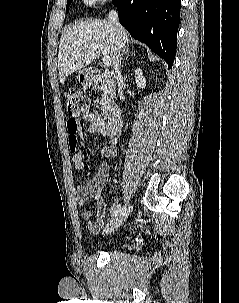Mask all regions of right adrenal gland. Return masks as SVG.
<instances>
[{
  "label": "right adrenal gland",
  "instance_id": "2a0ac1e0",
  "mask_svg": "<svg viewBox=\"0 0 239 303\" xmlns=\"http://www.w3.org/2000/svg\"><path fill=\"white\" fill-rule=\"evenodd\" d=\"M126 55V58L129 57L130 55H135L134 52L130 51L128 46H125L122 50V55H121V60H123V56Z\"/></svg>",
  "mask_w": 239,
  "mask_h": 303
}]
</instances>
